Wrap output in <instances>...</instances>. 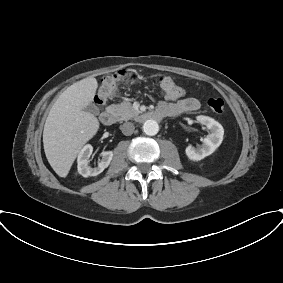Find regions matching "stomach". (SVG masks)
Listing matches in <instances>:
<instances>
[{
	"instance_id": "0dacf381",
	"label": "stomach",
	"mask_w": 283,
	"mask_h": 283,
	"mask_svg": "<svg viewBox=\"0 0 283 283\" xmlns=\"http://www.w3.org/2000/svg\"><path fill=\"white\" fill-rule=\"evenodd\" d=\"M134 77H136V75H134V74H131L130 75V78H132V80H134ZM138 77V76H137ZM139 78V77H138Z\"/></svg>"
}]
</instances>
